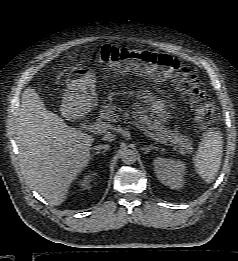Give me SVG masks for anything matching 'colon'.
<instances>
[{"label":"colon","instance_id":"5ec220e1","mask_svg":"<svg viewBox=\"0 0 238 261\" xmlns=\"http://www.w3.org/2000/svg\"><path fill=\"white\" fill-rule=\"evenodd\" d=\"M93 59L120 72L149 74L156 79H172L191 105L200 127H209L217 117V108L200 79L186 65L170 55L146 49L104 45Z\"/></svg>","mask_w":238,"mask_h":261}]
</instances>
